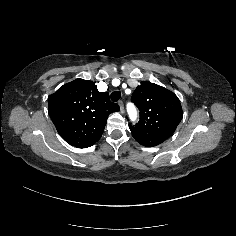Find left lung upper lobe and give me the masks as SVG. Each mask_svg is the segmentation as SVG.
I'll return each mask as SVG.
<instances>
[{"mask_svg": "<svg viewBox=\"0 0 236 236\" xmlns=\"http://www.w3.org/2000/svg\"><path fill=\"white\" fill-rule=\"evenodd\" d=\"M140 111L136 125L129 124L133 137L165 141L176 130L183 112L178 97L170 90L141 82L131 98Z\"/></svg>", "mask_w": 236, "mask_h": 236, "instance_id": "obj_1", "label": "left lung upper lobe"}]
</instances>
